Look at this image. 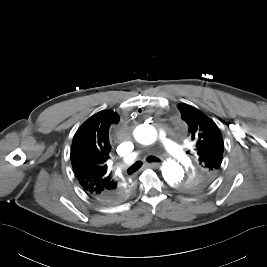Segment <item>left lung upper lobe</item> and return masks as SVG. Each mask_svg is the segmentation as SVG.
Here are the masks:
<instances>
[{"label": "left lung upper lobe", "mask_w": 267, "mask_h": 267, "mask_svg": "<svg viewBox=\"0 0 267 267\" xmlns=\"http://www.w3.org/2000/svg\"><path fill=\"white\" fill-rule=\"evenodd\" d=\"M182 119L188 126V133L194 142L198 163L182 183L185 191H197L208 187L217 177L223 158V139L217 125L196 108L179 104Z\"/></svg>", "instance_id": "5c2ea615"}]
</instances>
